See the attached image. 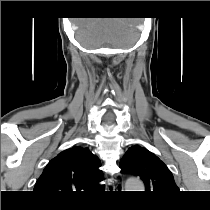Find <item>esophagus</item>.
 I'll list each match as a JSON object with an SVG mask.
<instances>
[{"mask_svg":"<svg viewBox=\"0 0 210 210\" xmlns=\"http://www.w3.org/2000/svg\"><path fill=\"white\" fill-rule=\"evenodd\" d=\"M117 185L116 188L122 190L124 188L123 177L121 175H117Z\"/></svg>","mask_w":210,"mask_h":210,"instance_id":"obj_1","label":"esophagus"}]
</instances>
